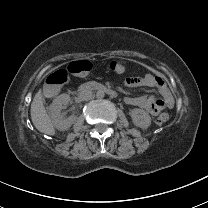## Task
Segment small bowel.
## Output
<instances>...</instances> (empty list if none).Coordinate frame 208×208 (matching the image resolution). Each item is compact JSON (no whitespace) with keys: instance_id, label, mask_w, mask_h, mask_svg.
<instances>
[{"instance_id":"obj_1","label":"small bowel","mask_w":208,"mask_h":208,"mask_svg":"<svg viewBox=\"0 0 208 208\" xmlns=\"http://www.w3.org/2000/svg\"><path fill=\"white\" fill-rule=\"evenodd\" d=\"M125 84L129 87H152L156 88L161 96L159 100H153L147 97H128L126 103L139 106L146 109L153 115L162 111H170L173 108L174 101L172 94L165 82L160 76L145 75L143 77L130 76L125 79Z\"/></svg>"}]
</instances>
